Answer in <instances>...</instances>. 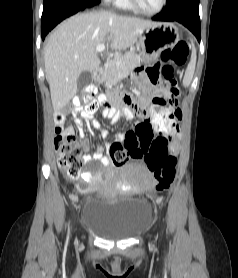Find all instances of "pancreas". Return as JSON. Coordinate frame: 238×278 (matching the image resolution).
<instances>
[{"mask_svg": "<svg viewBox=\"0 0 238 278\" xmlns=\"http://www.w3.org/2000/svg\"><path fill=\"white\" fill-rule=\"evenodd\" d=\"M142 60V54L130 50L124 55H116L114 61L105 65L106 86H112L117 83L120 77L128 75Z\"/></svg>", "mask_w": 238, "mask_h": 278, "instance_id": "obj_1", "label": "pancreas"}]
</instances>
